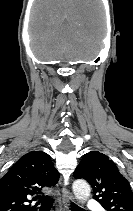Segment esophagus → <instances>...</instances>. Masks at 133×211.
I'll return each mask as SVG.
<instances>
[{
  "instance_id": "34e87169",
  "label": "esophagus",
  "mask_w": 133,
  "mask_h": 211,
  "mask_svg": "<svg viewBox=\"0 0 133 211\" xmlns=\"http://www.w3.org/2000/svg\"><path fill=\"white\" fill-rule=\"evenodd\" d=\"M61 198H62V202L64 204L65 209L68 211L70 208L71 202L74 201V197L66 187L62 188Z\"/></svg>"
}]
</instances>
